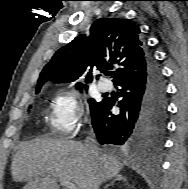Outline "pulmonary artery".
<instances>
[{"instance_id":"1","label":"pulmonary artery","mask_w":188,"mask_h":189,"mask_svg":"<svg viewBox=\"0 0 188 189\" xmlns=\"http://www.w3.org/2000/svg\"><path fill=\"white\" fill-rule=\"evenodd\" d=\"M98 88L100 91L106 92L111 89V84L106 80H101L98 82Z\"/></svg>"}]
</instances>
